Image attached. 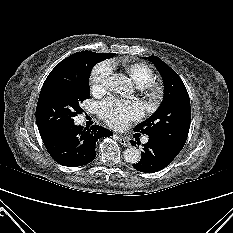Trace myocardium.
Wrapping results in <instances>:
<instances>
[{
    "instance_id": "1",
    "label": "myocardium",
    "mask_w": 233,
    "mask_h": 233,
    "mask_svg": "<svg viewBox=\"0 0 233 233\" xmlns=\"http://www.w3.org/2000/svg\"><path fill=\"white\" fill-rule=\"evenodd\" d=\"M141 90L143 91L145 97L151 101L156 102L162 96V86L156 81H149L148 83L140 86Z\"/></svg>"
}]
</instances>
